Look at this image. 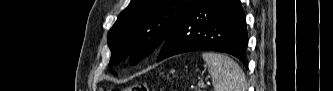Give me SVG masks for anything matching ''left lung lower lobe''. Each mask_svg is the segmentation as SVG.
Wrapping results in <instances>:
<instances>
[{"mask_svg":"<svg viewBox=\"0 0 333 91\" xmlns=\"http://www.w3.org/2000/svg\"><path fill=\"white\" fill-rule=\"evenodd\" d=\"M161 47L157 62L205 50L229 53L247 68L246 18L240 0H198Z\"/></svg>","mask_w":333,"mask_h":91,"instance_id":"left-lung-lower-lobe-1","label":"left lung lower lobe"}]
</instances>
